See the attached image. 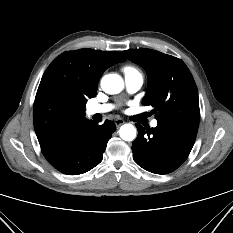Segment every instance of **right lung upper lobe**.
Masks as SVG:
<instances>
[{
  "label": "right lung upper lobe",
  "instance_id": "obj_1",
  "mask_svg": "<svg viewBox=\"0 0 233 233\" xmlns=\"http://www.w3.org/2000/svg\"><path fill=\"white\" fill-rule=\"evenodd\" d=\"M124 60L120 52L80 49L64 52L52 61L43 74L33 108L40 146L89 121L85 118L87 99L95 97L103 72Z\"/></svg>",
  "mask_w": 233,
  "mask_h": 233
}]
</instances>
